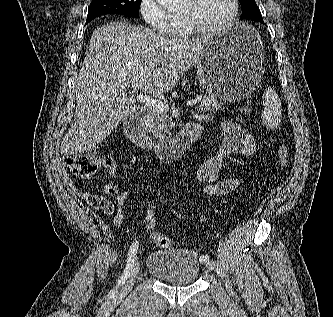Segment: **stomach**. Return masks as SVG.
I'll return each instance as SVG.
<instances>
[{
  "mask_svg": "<svg viewBox=\"0 0 333 317\" xmlns=\"http://www.w3.org/2000/svg\"><path fill=\"white\" fill-rule=\"evenodd\" d=\"M264 47L259 33L235 23L211 35L197 59L200 84L217 99L236 102L261 95Z\"/></svg>",
  "mask_w": 333,
  "mask_h": 317,
  "instance_id": "stomach-1",
  "label": "stomach"
}]
</instances>
